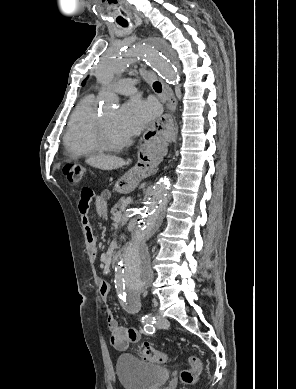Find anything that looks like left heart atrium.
Masks as SVG:
<instances>
[{"label":"left heart atrium","mask_w":296,"mask_h":389,"mask_svg":"<svg viewBox=\"0 0 296 389\" xmlns=\"http://www.w3.org/2000/svg\"><path fill=\"white\" fill-rule=\"evenodd\" d=\"M157 113V107L153 102L132 98L119 112L118 127L127 137L137 135L156 117Z\"/></svg>","instance_id":"39dd6f15"}]
</instances>
